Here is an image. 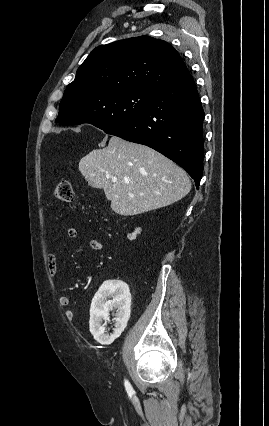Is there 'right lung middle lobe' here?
Masks as SVG:
<instances>
[{
  "mask_svg": "<svg viewBox=\"0 0 269 426\" xmlns=\"http://www.w3.org/2000/svg\"><path fill=\"white\" fill-rule=\"evenodd\" d=\"M154 92L126 90L83 98L79 94L64 96L55 122L62 125L92 124L104 131L112 130L143 113Z\"/></svg>",
  "mask_w": 269,
  "mask_h": 426,
  "instance_id": "right-lung-middle-lobe-1",
  "label": "right lung middle lobe"
}]
</instances>
